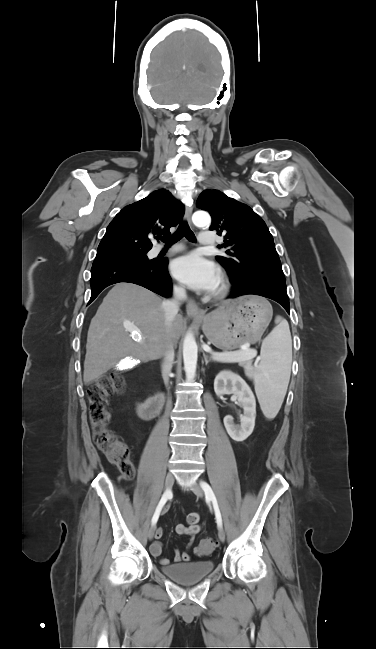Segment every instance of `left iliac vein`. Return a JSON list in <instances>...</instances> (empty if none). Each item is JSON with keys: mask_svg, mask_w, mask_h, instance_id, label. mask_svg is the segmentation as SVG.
<instances>
[{"mask_svg": "<svg viewBox=\"0 0 376 649\" xmlns=\"http://www.w3.org/2000/svg\"><path fill=\"white\" fill-rule=\"evenodd\" d=\"M191 489H192L193 493H194L196 496L201 497V498L203 497V495H204L203 490H202V488H201L198 484L194 483V484L191 486ZM218 537H219V539H220L221 542H224V540H225V531L223 530L222 527H219V530H218Z\"/></svg>", "mask_w": 376, "mask_h": 649, "instance_id": "1", "label": "left iliac vein"}]
</instances>
